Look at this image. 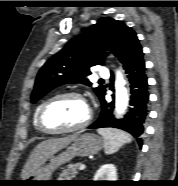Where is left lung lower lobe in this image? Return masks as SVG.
<instances>
[{
	"label": "left lung lower lobe",
	"mask_w": 178,
	"mask_h": 186,
	"mask_svg": "<svg viewBox=\"0 0 178 186\" xmlns=\"http://www.w3.org/2000/svg\"><path fill=\"white\" fill-rule=\"evenodd\" d=\"M125 73L130 82V107L121 119L113 115L114 103H108L104 96L101 99L102 111L97 121L89 126L91 129L113 127L122 129L132 134L142 146L141 136L144 132V123L148 115L147 103L149 100L148 82L145 74V62L143 54L129 62L125 67ZM113 80V75L111 77Z\"/></svg>",
	"instance_id": "obj_1"
}]
</instances>
